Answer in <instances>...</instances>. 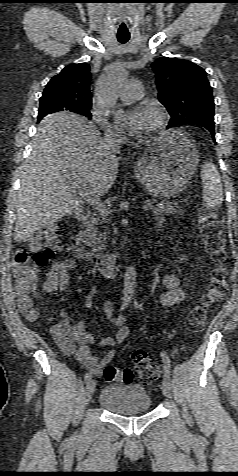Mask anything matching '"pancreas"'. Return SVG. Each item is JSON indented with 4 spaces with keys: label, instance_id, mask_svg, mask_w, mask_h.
<instances>
[{
    "label": "pancreas",
    "instance_id": "1",
    "mask_svg": "<svg viewBox=\"0 0 238 476\" xmlns=\"http://www.w3.org/2000/svg\"><path fill=\"white\" fill-rule=\"evenodd\" d=\"M179 208L177 202L171 203L167 200H162L151 208V210L157 215L163 214H173L176 212V209ZM181 211V210H180ZM108 217L107 214H96L94 215L86 224V229L84 231V241L91 251L94 253H99L105 250L107 233L104 231V224L107 223ZM99 225H102L103 228L99 230ZM104 242V244H103Z\"/></svg>",
    "mask_w": 238,
    "mask_h": 476
}]
</instances>
